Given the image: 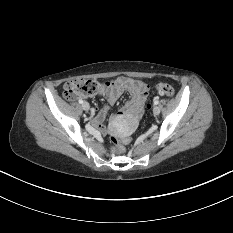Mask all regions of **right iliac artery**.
<instances>
[{
  "mask_svg": "<svg viewBox=\"0 0 233 233\" xmlns=\"http://www.w3.org/2000/svg\"><path fill=\"white\" fill-rule=\"evenodd\" d=\"M80 104H82L83 103V100H81V99H79V101H78Z\"/></svg>",
  "mask_w": 233,
  "mask_h": 233,
  "instance_id": "obj_1",
  "label": "right iliac artery"
}]
</instances>
